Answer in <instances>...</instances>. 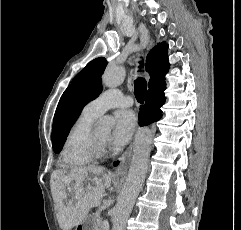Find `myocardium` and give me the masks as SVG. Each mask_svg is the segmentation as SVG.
<instances>
[{"instance_id":"obj_1","label":"myocardium","mask_w":241,"mask_h":230,"mask_svg":"<svg viewBox=\"0 0 241 230\" xmlns=\"http://www.w3.org/2000/svg\"><path fill=\"white\" fill-rule=\"evenodd\" d=\"M85 150L94 159L104 157L109 152L107 144H103L97 140L94 129L89 131L85 139Z\"/></svg>"}]
</instances>
